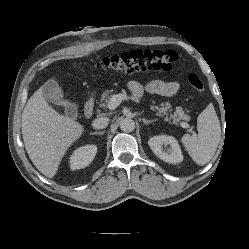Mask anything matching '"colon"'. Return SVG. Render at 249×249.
I'll return each instance as SVG.
<instances>
[{
	"label": "colon",
	"instance_id": "5ec220e1",
	"mask_svg": "<svg viewBox=\"0 0 249 249\" xmlns=\"http://www.w3.org/2000/svg\"><path fill=\"white\" fill-rule=\"evenodd\" d=\"M177 60V54L171 50L138 49L118 55L103 57L95 63L98 69L132 73L146 70H171ZM189 85L201 92L204 84L197 74L188 76Z\"/></svg>",
	"mask_w": 249,
	"mask_h": 249
}]
</instances>
